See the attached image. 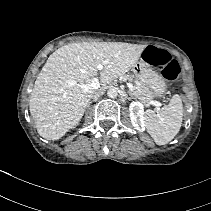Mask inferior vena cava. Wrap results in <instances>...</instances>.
<instances>
[{
	"label": "inferior vena cava",
	"mask_w": 211,
	"mask_h": 211,
	"mask_svg": "<svg viewBox=\"0 0 211 211\" xmlns=\"http://www.w3.org/2000/svg\"><path fill=\"white\" fill-rule=\"evenodd\" d=\"M104 94V91L102 90H98V91H95L92 95H91V98H98L100 97L101 95Z\"/></svg>",
	"instance_id": "inferior-vena-cava-1"
}]
</instances>
